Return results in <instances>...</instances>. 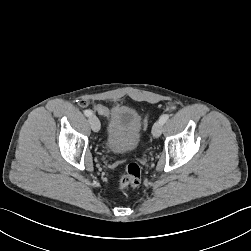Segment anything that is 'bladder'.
<instances>
[{
    "instance_id": "31cf9c89",
    "label": "bladder",
    "mask_w": 251,
    "mask_h": 251,
    "mask_svg": "<svg viewBox=\"0 0 251 251\" xmlns=\"http://www.w3.org/2000/svg\"><path fill=\"white\" fill-rule=\"evenodd\" d=\"M141 139V117L132 107L114 105L109 114L105 149L114 154L133 151Z\"/></svg>"
}]
</instances>
